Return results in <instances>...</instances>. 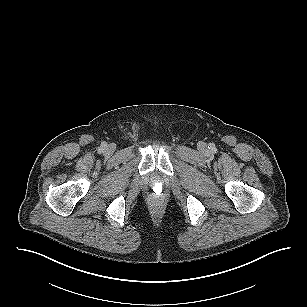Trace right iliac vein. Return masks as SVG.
Instances as JSON below:
<instances>
[{
    "mask_svg": "<svg viewBox=\"0 0 307 307\" xmlns=\"http://www.w3.org/2000/svg\"><path fill=\"white\" fill-rule=\"evenodd\" d=\"M115 145L114 144H109V145H107L106 147H105V154L106 155H112L113 154V152L115 151Z\"/></svg>",
    "mask_w": 307,
    "mask_h": 307,
    "instance_id": "63e3f726",
    "label": "right iliac vein"
}]
</instances>
